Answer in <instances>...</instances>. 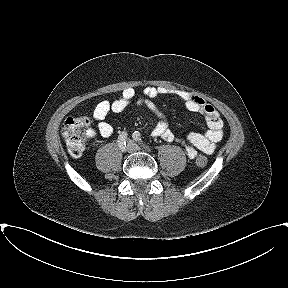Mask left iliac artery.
Listing matches in <instances>:
<instances>
[{
  "label": "left iliac artery",
  "mask_w": 288,
  "mask_h": 288,
  "mask_svg": "<svg viewBox=\"0 0 288 288\" xmlns=\"http://www.w3.org/2000/svg\"><path fill=\"white\" fill-rule=\"evenodd\" d=\"M133 139L135 141H137L139 144H141V146H143L144 148H146L147 150H151L150 147L148 145H146L145 143H143L142 138H141V134L136 131L133 133Z\"/></svg>",
  "instance_id": "44dca946"
}]
</instances>
